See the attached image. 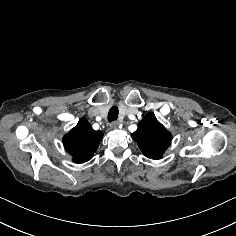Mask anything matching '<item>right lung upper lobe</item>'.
I'll return each instance as SVG.
<instances>
[{"label":"right lung upper lobe","mask_w":236,"mask_h":236,"mask_svg":"<svg viewBox=\"0 0 236 236\" xmlns=\"http://www.w3.org/2000/svg\"><path fill=\"white\" fill-rule=\"evenodd\" d=\"M103 133L95 131L86 119H80L78 124L63 138L66 151L76 163L90 160L97 150Z\"/></svg>","instance_id":"cb5924a9"}]
</instances>
